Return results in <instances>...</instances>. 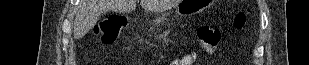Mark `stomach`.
Here are the masks:
<instances>
[{"label": "stomach", "instance_id": "stomach-1", "mask_svg": "<svg viewBox=\"0 0 309 65\" xmlns=\"http://www.w3.org/2000/svg\"><path fill=\"white\" fill-rule=\"evenodd\" d=\"M209 0H183L176 8V11L181 16H188L202 12L209 7Z\"/></svg>", "mask_w": 309, "mask_h": 65}]
</instances>
